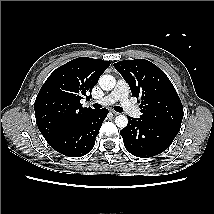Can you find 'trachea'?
Instances as JSON below:
<instances>
[{"label":"trachea","instance_id":"1","mask_svg":"<svg viewBox=\"0 0 214 214\" xmlns=\"http://www.w3.org/2000/svg\"><path fill=\"white\" fill-rule=\"evenodd\" d=\"M93 107H94L95 109H100V108H101V105L98 104V103H95V104L93 105ZM114 110L117 111V112H123V108H121L120 106H115V107H114Z\"/></svg>","mask_w":214,"mask_h":214}]
</instances>
